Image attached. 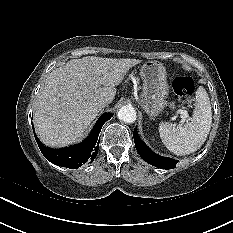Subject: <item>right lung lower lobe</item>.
<instances>
[{
  "mask_svg": "<svg viewBox=\"0 0 233 233\" xmlns=\"http://www.w3.org/2000/svg\"><path fill=\"white\" fill-rule=\"evenodd\" d=\"M112 116L113 114L110 113L101 115L89 137L81 144H77L68 148L52 149L46 147L39 141L35 131L33 130L34 136L39 149L48 161L58 166L76 169L86 162H92L95 159L99 149V133L104 123Z\"/></svg>",
  "mask_w": 233,
  "mask_h": 233,
  "instance_id": "98d812e1",
  "label": "right lung lower lobe"
}]
</instances>
